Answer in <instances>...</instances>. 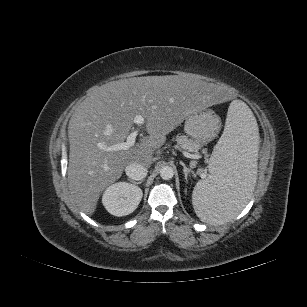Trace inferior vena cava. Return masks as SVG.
I'll use <instances>...</instances> for the list:
<instances>
[{"mask_svg": "<svg viewBox=\"0 0 307 307\" xmlns=\"http://www.w3.org/2000/svg\"><path fill=\"white\" fill-rule=\"evenodd\" d=\"M126 175L133 180H142L147 175V168L139 163L129 164L125 168Z\"/></svg>", "mask_w": 307, "mask_h": 307, "instance_id": "inferior-vena-cava-1", "label": "inferior vena cava"}]
</instances>
